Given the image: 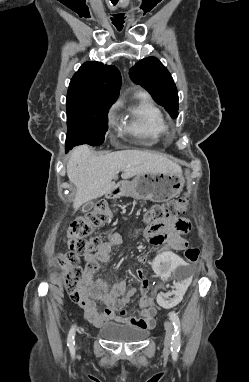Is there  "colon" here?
<instances>
[{
  "label": "colon",
  "mask_w": 249,
  "mask_h": 382,
  "mask_svg": "<svg viewBox=\"0 0 249 382\" xmlns=\"http://www.w3.org/2000/svg\"><path fill=\"white\" fill-rule=\"evenodd\" d=\"M187 206L188 199L185 197L155 204L145 211L144 220L148 224H155L168 216L184 213L187 210ZM107 218L105 203H99L90 213L78 217L70 225L66 240L68 250L59 255L58 265L65 272V289L71 299L76 302L83 298L81 289L85 277V270L79 265L80 256L96 251L102 244V240L99 237L90 239L85 237L92 229L103 225ZM184 256L189 262L195 263L199 258V250L195 247H188L185 249ZM135 281L144 282L141 292L146 294L149 287L147 273L143 272L142 269H137Z\"/></svg>",
  "instance_id": "5ec220e1"
}]
</instances>
